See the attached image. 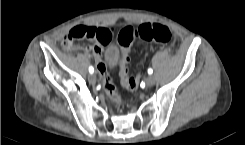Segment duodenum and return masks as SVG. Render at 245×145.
Here are the masks:
<instances>
[{"label":"duodenum","mask_w":245,"mask_h":145,"mask_svg":"<svg viewBox=\"0 0 245 145\" xmlns=\"http://www.w3.org/2000/svg\"><path fill=\"white\" fill-rule=\"evenodd\" d=\"M70 48H71L72 51H76V52H79V51H83L84 50V47H82L80 45H75V44L71 45Z\"/></svg>","instance_id":"410a0bca"}]
</instances>
